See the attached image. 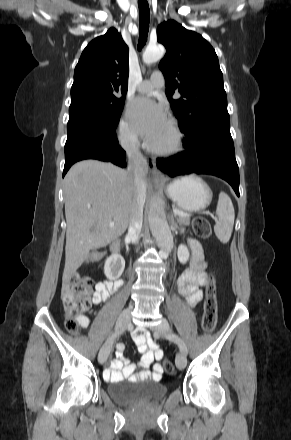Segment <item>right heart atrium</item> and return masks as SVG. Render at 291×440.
<instances>
[{
	"label": "right heart atrium",
	"mask_w": 291,
	"mask_h": 440,
	"mask_svg": "<svg viewBox=\"0 0 291 440\" xmlns=\"http://www.w3.org/2000/svg\"><path fill=\"white\" fill-rule=\"evenodd\" d=\"M119 143L127 151L136 148L139 139L132 126L126 119H122L118 129Z\"/></svg>",
	"instance_id": "1"
}]
</instances>
